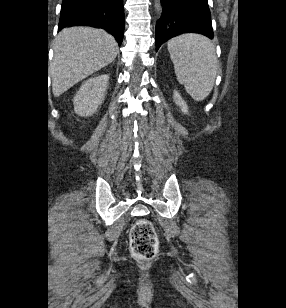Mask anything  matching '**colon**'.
<instances>
[{
    "mask_svg": "<svg viewBox=\"0 0 286 308\" xmlns=\"http://www.w3.org/2000/svg\"><path fill=\"white\" fill-rule=\"evenodd\" d=\"M130 248L134 257L141 260H150L155 257L159 240L153 224L141 219L130 230Z\"/></svg>",
    "mask_w": 286,
    "mask_h": 308,
    "instance_id": "colon-1",
    "label": "colon"
}]
</instances>
